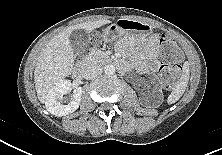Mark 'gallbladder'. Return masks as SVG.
Wrapping results in <instances>:
<instances>
[{
  "instance_id": "bac80fb5",
  "label": "gallbladder",
  "mask_w": 222,
  "mask_h": 155,
  "mask_svg": "<svg viewBox=\"0 0 222 155\" xmlns=\"http://www.w3.org/2000/svg\"><path fill=\"white\" fill-rule=\"evenodd\" d=\"M90 43V35L86 30L77 29L70 35V44L77 53H83L88 49Z\"/></svg>"
}]
</instances>
